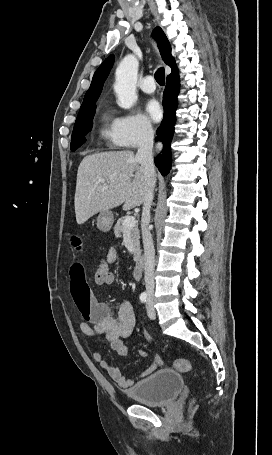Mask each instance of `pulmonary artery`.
<instances>
[{
	"instance_id": "1",
	"label": "pulmonary artery",
	"mask_w": 272,
	"mask_h": 455,
	"mask_svg": "<svg viewBox=\"0 0 272 455\" xmlns=\"http://www.w3.org/2000/svg\"><path fill=\"white\" fill-rule=\"evenodd\" d=\"M140 88L145 93H153L156 89L155 80L152 76H146L140 83Z\"/></svg>"
}]
</instances>
